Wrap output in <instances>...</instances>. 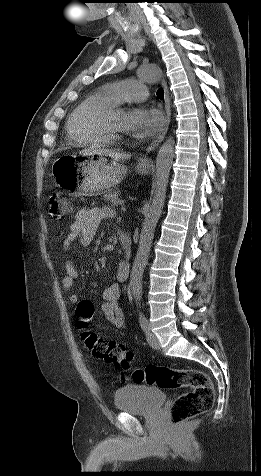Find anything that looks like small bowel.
<instances>
[{"label":"small bowel","instance_id":"c3829d8e","mask_svg":"<svg viewBox=\"0 0 261 476\" xmlns=\"http://www.w3.org/2000/svg\"><path fill=\"white\" fill-rule=\"evenodd\" d=\"M112 216L113 211L108 207L80 209L75 215V220L69 225L68 234L63 241V250L68 252L76 241L82 246H89L93 242L101 222ZM123 266V262L119 264L115 282L104 289V303L101 306L105 319L117 329H124L126 327V317L121 306L120 284L126 281L129 272L125 271ZM77 276V270L70 261H67L65 263V276L62 282L65 291L72 289ZM69 299L72 304L80 303V297L76 293H72Z\"/></svg>","mask_w":261,"mask_h":476}]
</instances>
